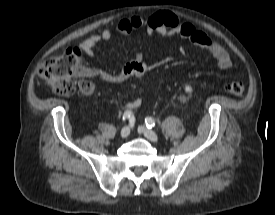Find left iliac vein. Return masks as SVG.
Masks as SVG:
<instances>
[{
  "mask_svg": "<svg viewBox=\"0 0 275 215\" xmlns=\"http://www.w3.org/2000/svg\"><path fill=\"white\" fill-rule=\"evenodd\" d=\"M140 130L143 132L146 138H148L150 141L157 142L158 141V136L155 132L152 130L148 129L145 126H141Z\"/></svg>",
  "mask_w": 275,
  "mask_h": 215,
  "instance_id": "obj_1",
  "label": "left iliac vein"
}]
</instances>
